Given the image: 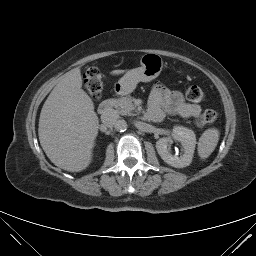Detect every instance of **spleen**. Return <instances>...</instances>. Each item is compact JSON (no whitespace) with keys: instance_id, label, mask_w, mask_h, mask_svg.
<instances>
[{"instance_id":"obj_1","label":"spleen","mask_w":256,"mask_h":256,"mask_svg":"<svg viewBox=\"0 0 256 256\" xmlns=\"http://www.w3.org/2000/svg\"><path fill=\"white\" fill-rule=\"evenodd\" d=\"M219 135L220 133L216 128H210L203 132L198 142V154L202 159L208 158L215 150Z\"/></svg>"}]
</instances>
